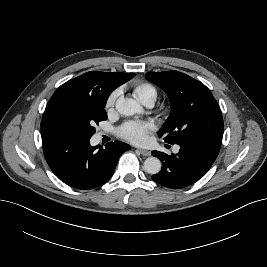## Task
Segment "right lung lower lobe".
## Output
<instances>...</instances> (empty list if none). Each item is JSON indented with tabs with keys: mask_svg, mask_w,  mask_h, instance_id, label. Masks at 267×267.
<instances>
[{
	"mask_svg": "<svg viewBox=\"0 0 267 267\" xmlns=\"http://www.w3.org/2000/svg\"><path fill=\"white\" fill-rule=\"evenodd\" d=\"M45 159L54 174L65 184L81 190L103 185L113 175L118 159L131 147L110 142L92 147L90 138L73 136L52 129L41 130Z\"/></svg>",
	"mask_w": 267,
	"mask_h": 267,
	"instance_id": "1",
	"label": "right lung lower lobe"
}]
</instances>
